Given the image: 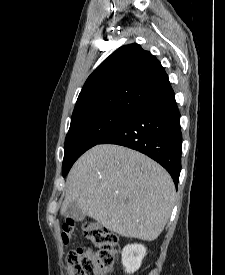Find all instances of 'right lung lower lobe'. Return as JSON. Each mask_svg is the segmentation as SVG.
Segmentation results:
<instances>
[{"label":"right lung lower lobe","mask_w":225,"mask_h":275,"mask_svg":"<svg viewBox=\"0 0 225 275\" xmlns=\"http://www.w3.org/2000/svg\"><path fill=\"white\" fill-rule=\"evenodd\" d=\"M137 150L162 165L175 185L181 171L182 134L175 93L154 99L129 112L98 144Z\"/></svg>","instance_id":"obj_1"}]
</instances>
